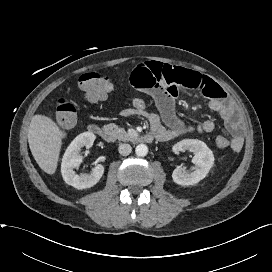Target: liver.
<instances>
[{"instance_id":"liver-1","label":"liver","mask_w":272,"mask_h":272,"mask_svg":"<svg viewBox=\"0 0 272 272\" xmlns=\"http://www.w3.org/2000/svg\"><path fill=\"white\" fill-rule=\"evenodd\" d=\"M63 132L49 117L34 115L28 129V143L31 153L39 167L47 174L57 169L62 146Z\"/></svg>"}]
</instances>
